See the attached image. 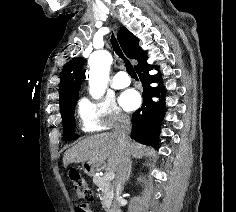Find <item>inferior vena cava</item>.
<instances>
[{
	"label": "inferior vena cava",
	"instance_id": "602c4592",
	"mask_svg": "<svg viewBox=\"0 0 236 212\" xmlns=\"http://www.w3.org/2000/svg\"><path fill=\"white\" fill-rule=\"evenodd\" d=\"M131 131L130 119L126 115H119L118 122L115 125L113 134L116 136L119 144L121 145V159L116 171L115 184V197L114 201L117 206L121 202V193L125 181L128 178L130 168V153L128 150V136Z\"/></svg>",
	"mask_w": 236,
	"mask_h": 212
}]
</instances>
